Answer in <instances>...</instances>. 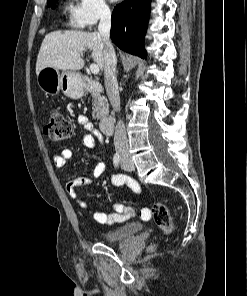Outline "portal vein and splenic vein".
I'll use <instances>...</instances> for the list:
<instances>
[{
  "label": "portal vein and splenic vein",
  "mask_w": 247,
  "mask_h": 296,
  "mask_svg": "<svg viewBox=\"0 0 247 296\" xmlns=\"http://www.w3.org/2000/svg\"><path fill=\"white\" fill-rule=\"evenodd\" d=\"M90 71L93 73V74H98L99 73V67L97 64H91L90 65Z\"/></svg>",
  "instance_id": "18ae733b"
}]
</instances>
